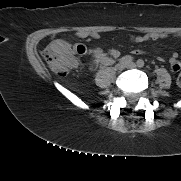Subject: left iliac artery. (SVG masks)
I'll return each mask as SVG.
<instances>
[{
    "instance_id": "left-iliac-artery-1",
    "label": "left iliac artery",
    "mask_w": 181,
    "mask_h": 181,
    "mask_svg": "<svg viewBox=\"0 0 181 181\" xmlns=\"http://www.w3.org/2000/svg\"><path fill=\"white\" fill-rule=\"evenodd\" d=\"M137 66L138 67H143L144 66V61L142 59L137 60Z\"/></svg>"
}]
</instances>
